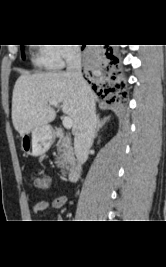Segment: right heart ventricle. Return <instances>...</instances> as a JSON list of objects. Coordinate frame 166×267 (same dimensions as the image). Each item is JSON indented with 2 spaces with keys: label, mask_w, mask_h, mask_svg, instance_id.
Returning <instances> with one entry per match:
<instances>
[{
  "label": "right heart ventricle",
  "mask_w": 166,
  "mask_h": 267,
  "mask_svg": "<svg viewBox=\"0 0 166 267\" xmlns=\"http://www.w3.org/2000/svg\"><path fill=\"white\" fill-rule=\"evenodd\" d=\"M46 47L45 46H38L31 56V61L34 66L41 68L47 66V58H46Z\"/></svg>",
  "instance_id": "e07e8e85"
}]
</instances>
